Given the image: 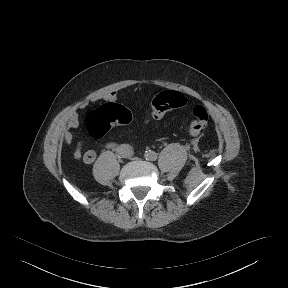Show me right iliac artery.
<instances>
[{
    "label": "right iliac artery",
    "instance_id": "right-iliac-artery-1",
    "mask_svg": "<svg viewBox=\"0 0 288 288\" xmlns=\"http://www.w3.org/2000/svg\"><path fill=\"white\" fill-rule=\"evenodd\" d=\"M126 148L125 147H118L117 148V154L120 156H123V154L125 153Z\"/></svg>",
    "mask_w": 288,
    "mask_h": 288
}]
</instances>
